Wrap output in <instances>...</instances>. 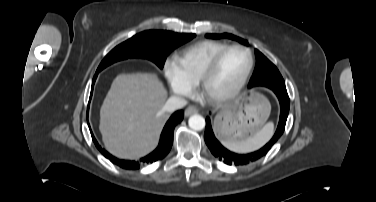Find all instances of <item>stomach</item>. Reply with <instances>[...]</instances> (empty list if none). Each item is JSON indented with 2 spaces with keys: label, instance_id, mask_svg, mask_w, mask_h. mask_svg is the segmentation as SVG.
<instances>
[{
  "label": "stomach",
  "instance_id": "0dacf381",
  "mask_svg": "<svg viewBox=\"0 0 376 202\" xmlns=\"http://www.w3.org/2000/svg\"><path fill=\"white\" fill-rule=\"evenodd\" d=\"M270 114L267 99L257 93L241 95L215 118V131L223 142H241L256 135Z\"/></svg>",
  "mask_w": 376,
  "mask_h": 202
}]
</instances>
